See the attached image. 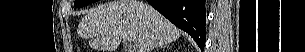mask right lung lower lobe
<instances>
[{
    "label": "right lung lower lobe",
    "mask_w": 305,
    "mask_h": 52,
    "mask_svg": "<svg viewBox=\"0 0 305 52\" xmlns=\"http://www.w3.org/2000/svg\"><path fill=\"white\" fill-rule=\"evenodd\" d=\"M175 26L184 30L203 51L205 45L206 0H147Z\"/></svg>",
    "instance_id": "1"
}]
</instances>
